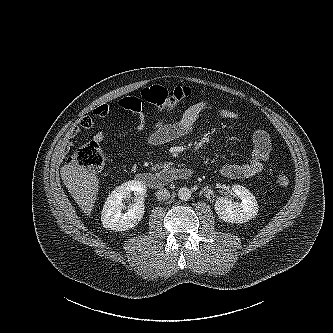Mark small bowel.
<instances>
[{"label": "small bowel", "mask_w": 333, "mask_h": 333, "mask_svg": "<svg viewBox=\"0 0 333 333\" xmlns=\"http://www.w3.org/2000/svg\"><path fill=\"white\" fill-rule=\"evenodd\" d=\"M118 105L134 113L137 117V128L142 129L145 123V116L142 111V103L138 97L128 96L119 100ZM211 110L213 113L223 119L239 120L240 115L230 109L216 107L211 100H200L189 106L182 116L174 122H169L166 118H159L152 126L147 135V143L150 146H158L190 133L199 117L204 111ZM110 107L107 104L97 106L90 116L82 118L78 125L73 126L67 132L64 138V146L69 148L73 140L83 129H90L95 122L108 116ZM105 138L103 131H98L93 139L95 142H102ZM253 148L251 158L244 163H228L220 168V173L230 179L250 178L260 173L268 159L272 144L269 134L260 128L252 132Z\"/></svg>", "instance_id": "1"}]
</instances>
